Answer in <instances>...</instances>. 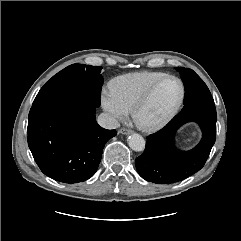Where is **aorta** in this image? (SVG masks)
I'll list each match as a JSON object with an SVG mask.
<instances>
[{"label":"aorta","mask_w":241,"mask_h":241,"mask_svg":"<svg viewBox=\"0 0 241 241\" xmlns=\"http://www.w3.org/2000/svg\"><path fill=\"white\" fill-rule=\"evenodd\" d=\"M145 143L146 142H145L144 138L140 134H137V133H133L128 138L129 147L136 152L143 151L145 149Z\"/></svg>","instance_id":"1"}]
</instances>
